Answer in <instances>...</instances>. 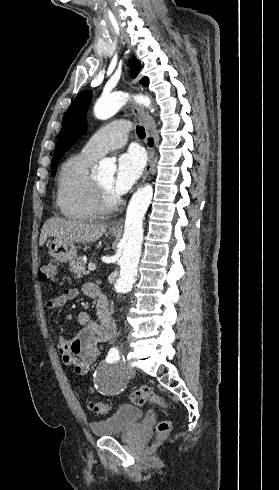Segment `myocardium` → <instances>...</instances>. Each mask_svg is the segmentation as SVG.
Segmentation results:
<instances>
[{
	"label": "myocardium",
	"instance_id": "f54148a6",
	"mask_svg": "<svg viewBox=\"0 0 279 490\" xmlns=\"http://www.w3.org/2000/svg\"><path fill=\"white\" fill-rule=\"evenodd\" d=\"M95 185L97 189L96 200L99 211L108 213L117 209L119 201L112 195L111 190L98 183Z\"/></svg>",
	"mask_w": 279,
	"mask_h": 490
}]
</instances>
